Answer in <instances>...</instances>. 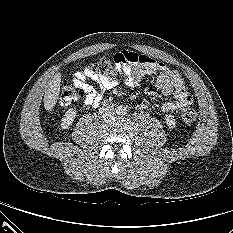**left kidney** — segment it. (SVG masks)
Listing matches in <instances>:
<instances>
[{
  "mask_svg": "<svg viewBox=\"0 0 233 233\" xmlns=\"http://www.w3.org/2000/svg\"><path fill=\"white\" fill-rule=\"evenodd\" d=\"M165 120L169 128L173 129L176 127V120L173 115H166Z\"/></svg>",
  "mask_w": 233,
  "mask_h": 233,
  "instance_id": "obj_1",
  "label": "left kidney"
}]
</instances>
